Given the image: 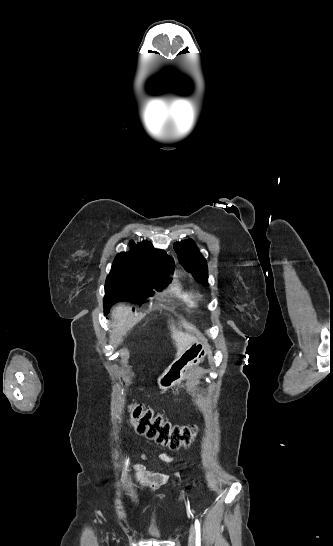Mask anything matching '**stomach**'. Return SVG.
I'll return each mask as SVG.
<instances>
[{"label":"stomach","instance_id":"1","mask_svg":"<svg viewBox=\"0 0 333 546\" xmlns=\"http://www.w3.org/2000/svg\"><path fill=\"white\" fill-rule=\"evenodd\" d=\"M209 353L208 345L203 341H195L168 366L158 377V386L167 390L180 384L188 372L198 366Z\"/></svg>","mask_w":333,"mask_h":546}]
</instances>
